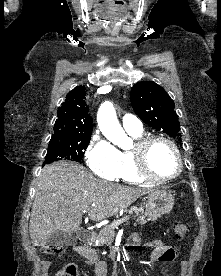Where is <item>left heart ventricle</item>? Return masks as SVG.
<instances>
[{
    "label": "left heart ventricle",
    "instance_id": "1",
    "mask_svg": "<svg viewBox=\"0 0 221 276\" xmlns=\"http://www.w3.org/2000/svg\"><path fill=\"white\" fill-rule=\"evenodd\" d=\"M147 158L150 170L157 176H169L177 171L176 155L166 142L152 143Z\"/></svg>",
    "mask_w": 221,
    "mask_h": 276
}]
</instances>
